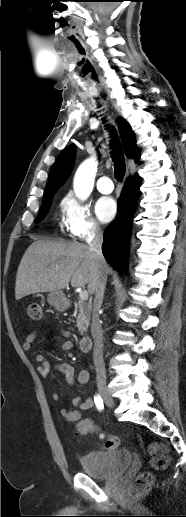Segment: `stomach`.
I'll return each instance as SVG.
<instances>
[{"instance_id":"obj_1","label":"stomach","mask_w":186,"mask_h":517,"mask_svg":"<svg viewBox=\"0 0 186 517\" xmlns=\"http://www.w3.org/2000/svg\"><path fill=\"white\" fill-rule=\"evenodd\" d=\"M47 300L50 305L54 306L59 311L65 310L68 304L67 299L61 290L50 292Z\"/></svg>"}]
</instances>
